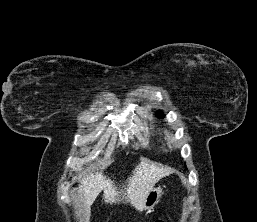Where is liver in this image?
<instances>
[{"mask_svg": "<svg viewBox=\"0 0 257 222\" xmlns=\"http://www.w3.org/2000/svg\"><path fill=\"white\" fill-rule=\"evenodd\" d=\"M173 172L168 167H163L155 163L141 161L128 177L125 185H115L109 177L102 172H96L82 179L79 184V192L84 202L86 221L90 219V206L95 201L101 191L104 192L103 199L110 205L116 203H130L136 210L142 211L146 197L154 185L163 177Z\"/></svg>", "mask_w": 257, "mask_h": 222, "instance_id": "6515ba94", "label": "liver"}]
</instances>
